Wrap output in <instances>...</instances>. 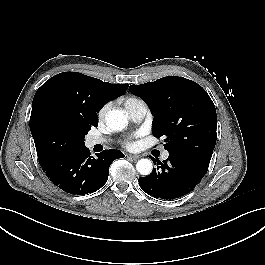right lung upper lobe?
<instances>
[{
    "instance_id": "right-lung-upper-lobe-1",
    "label": "right lung upper lobe",
    "mask_w": 265,
    "mask_h": 265,
    "mask_svg": "<svg viewBox=\"0 0 265 265\" xmlns=\"http://www.w3.org/2000/svg\"><path fill=\"white\" fill-rule=\"evenodd\" d=\"M128 84L113 85L76 72H63L47 80L36 92L31 115L52 107L65 116L98 124L97 112L110 100L122 95Z\"/></svg>"
}]
</instances>
